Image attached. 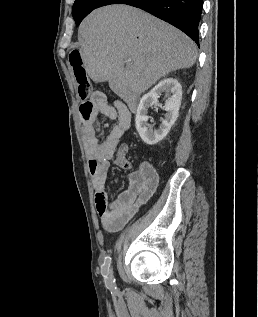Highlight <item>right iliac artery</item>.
<instances>
[{
	"label": "right iliac artery",
	"instance_id": "82829eb1",
	"mask_svg": "<svg viewBox=\"0 0 258 317\" xmlns=\"http://www.w3.org/2000/svg\"><path fill=\"white\" fill-rule=\"evenodd\" d=\"M105 286L107 289L110 290L111 293L116 292L117 287H116L113 271H111L110 278L108 280H105Z\"/></svg>",
	"mask_w": 258,
	"mask_h": 317
}]
</instances>
